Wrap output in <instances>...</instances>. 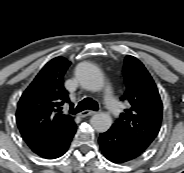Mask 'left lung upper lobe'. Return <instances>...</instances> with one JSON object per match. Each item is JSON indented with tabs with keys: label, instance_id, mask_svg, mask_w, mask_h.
<instances>
[{
	"label": "left lung upper lobe",
	"instance_id": "5c2ea615",
	"mask_svg": "<svg viewBox=\"0 0 184 173\" xmlns=\"http://www.w3.org/2000/svg\"><path fill=\"white\" fill-rule=\"evenodd\" d=\"M123 74L126 91L121 100L128 104V109L112 127L144 152L160 130L161 98L151 75L137 58L126 56Z\"/></svg>",
	"mask_w": 184,
	"mask_h": 173
}]
</instances>
